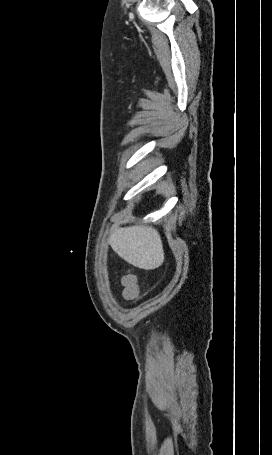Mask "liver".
<instances>
[{
    "label": "liver",
    "mask_w": 272,
    "mask_h": 455,
    "mask_svg": "<svg viewBox=\"0 0 272 455\" xmlns=\"http://www.w3.org/2000/svg\"><path fill=\"white\" fill-rule=\"evenodd\" d=\"M109 244L122 259L140 269L153 270L164 262L161 237L150 226L116 228L109 237Z\"/></svg>",
    "instance_id": "obj_1"
}]
</instances>
